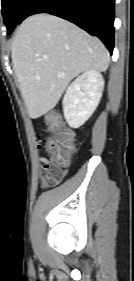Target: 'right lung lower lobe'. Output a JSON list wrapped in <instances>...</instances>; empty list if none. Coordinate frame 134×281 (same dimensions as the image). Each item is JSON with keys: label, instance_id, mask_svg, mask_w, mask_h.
Instances as JSON below:
<instances>
[{"label": "right lung lower lobe", "instance_id": "98d812e1", "mask_svg": "<svg viewBox=\"0 0 134 281\" xmlns=\"http://www.w3.org/2000/svg\"><path fill=\"white\" fill-rule=\"evenodd\" d=\"M114 2L115 0H31L24 10L22 21L37 13L58 16L99 37L112 54Z\"/></svg>", "mask_w": 134, "mask_h": 281}]
</instances>
